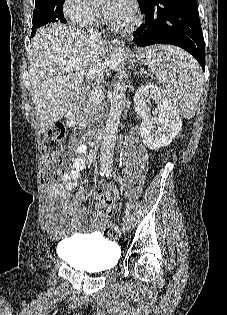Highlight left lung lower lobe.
Listing matches in <instances>:
<instances>
[{
    "label": "left lung lower lobe",
    "mask_w": 227,
    "mask_h": 315,
    "mask_svg": "<svg viewBox=\"0 0 227 315\" xmlns=\"http://www.w3.org/2000/svg\"><path fill=\"white\" fill-rule=\"evenodd\" d=\"M145 24L134 32L137 47L172 44L192 54L205 71V46L196 0H153L143 8Z\"/></svg>",
    "instance_id": "left-lung-lower-lobe-1"
}]
</instances>
